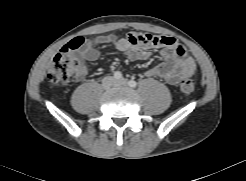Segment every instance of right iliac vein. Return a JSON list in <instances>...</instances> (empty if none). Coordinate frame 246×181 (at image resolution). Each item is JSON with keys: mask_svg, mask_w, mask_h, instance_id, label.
Listing matches in <instances>:
<instances>
[{"mask_svg": "<svg viewBox=\"0 0 246 181\" xmlns=\"http://www.w3.org/2000/svg\"><path fill=\"white\" fill-rule=\"evenodd\" d=\"M102 86L104 89L108 90L115 86V80L112 77H105L102 82Z\"/></svg>", "mask_w": 246, "mask_h": 181, "instance_id": "obj_1", "label": "right iliac vein"}]
</instances>
